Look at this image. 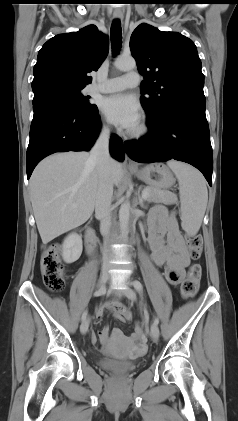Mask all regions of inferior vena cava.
Listing matches in <instances>:
<instances>
[{"label":"inferior vena cava","mask_w":238,"mask_h":421,"mask_svg":"<svg viewBox=\"0 0 238 421\" xmlns=\"http://www.w3.org/2000/svg\"><path fill=\"white\" fill-rule=\"evenodd\" d=\"M110 131L104 127L90 151L89 162L96 166L98 172V190L95 200V214L100 219V232L107 236L111 226V200L113 185L110 181ZM109 259L108 251L104 254V261Z\"/></svg>","instance_id":"obj_1"}]
</instances>
